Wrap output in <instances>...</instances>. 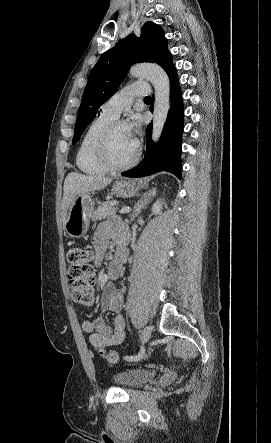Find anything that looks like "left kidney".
Masks as SVG:
<instances>
[{
	"instance_id": "5707ae66",
	"label": "left kidney",
	"mask_w": 271,
	"mask_h": 443,
	"mask_svg": "<svg viewBox=\"0 0 271 443\" xmlns=\"http://www.w3.org/2000/svg\"><path fill=\"white\" fill-rule=\"evenodd\" d=\"M162 206V202H160V200H157V202H155V204H153L152 206V214H160L161 210H163Z\"/></svg>"
}]
</instances>
